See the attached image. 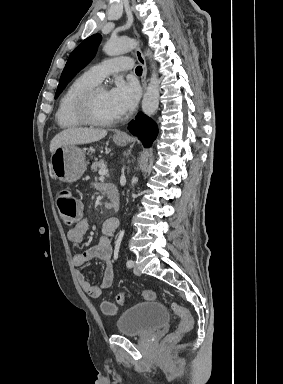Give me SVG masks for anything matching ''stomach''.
I'll return each instance as SVG.
<instances>
[{
    "label": "stomach",
    "mask_w": 283,
    "mask_h": 384,
    "mask_svg": "<svg viewBox=\"0 0 283 384\" xmlns=\"http://www.w3.org/2000/svg\"><path fill=\"white\" fill-rule=\"evenodd\" d=\"M117 146H126L130 138H113ZM85 152L81 148H77L74 144H66L60 146L53 152L50 160L51 170L60 182H77L85 172Z\"/></svg>",
    "instance_id": "1"
}]
</instances>
